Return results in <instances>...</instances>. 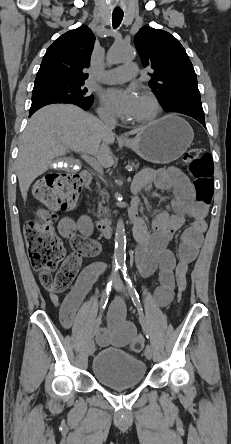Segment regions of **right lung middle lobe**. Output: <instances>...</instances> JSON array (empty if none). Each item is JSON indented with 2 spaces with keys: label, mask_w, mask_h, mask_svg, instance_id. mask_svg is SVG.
Instances as JSON below:
<instances>
[{
  "label": "right lung middle lobe",
  "mask_w": 231,
  "mask_h": 444,
  "mask_svg": "<svg viewBox=\"0 0 231 444\" xmlns=\"http://www.w3.org/2000/svg\"><path fill=\"white\" fill-rule=\"evenodd\" d=\"M83 83H52L33 88L32 106L44 103L91 105L92 95Z\"/></svg>",
  "instance_id": "obj_1"
}]
</instances>
